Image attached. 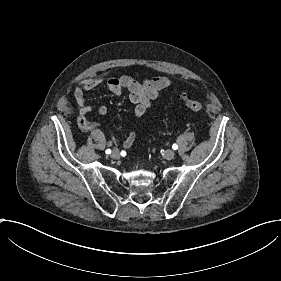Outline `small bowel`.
I'll use <instances>...</instances> for the list:
<instances>
[{
    "instance_id": "c3829d8e",
    "label": "small bowel",
    "mask_w": 281,
    "mask_h": 281,
    "mask_svg": "<svg viewBox=\"0 0 281 281\" xmlns=\"http://www.w3.org/2000/svg\"><path fill=\"white\" fill-rule=\"evenodd\" d=\"M105 84L106 88L119 95L123 88L129 92L131 102L135 105L134 115L143 116L151 105V102L158 98L162 91L170 85V80L163 76L147 78L139 82L129 76H113L107 78L104 74H98L86 81L81 82L74 92V98L78 103L79 111L88 113L91 111V105L86 98V92ZM107 107L101 105L98 112L101 115L107 113ZM135 140V134L130 133L124 141V147L128 148Z\"/></svg>"
}]
</instances>
